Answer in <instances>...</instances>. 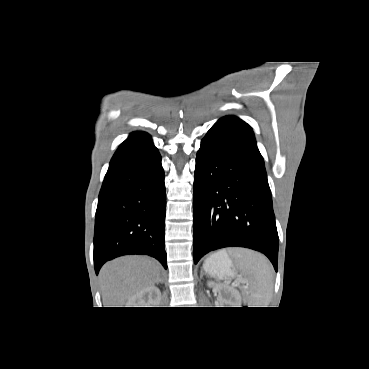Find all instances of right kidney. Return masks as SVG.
<instances>
[{"instance_id":"right-kidney-1","label":"right kidney","mask_w":369,"mask_h":369,"mask_svg":"<svg viewBox=\"0 0 369 369\" xmlns=\"http://www.w3.org/2000/svg\"><path fill=\"white\" fill-rule=\"evenodd\" d=\"M161 300V292L156 286H149L129 298L126 307H154Z\"/></svg>"}]
</instances>
